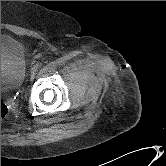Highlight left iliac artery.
<instances>
[{
    "label": "left iliac artery",
    "instance_id": "44dca946",
    "mask_svg": "<svg viewBox=\"0 0 166 166\" xmlns=\"http://www.w3.org/2000/svg\"><path fill=\"white\" fill-rule=\"evenodd\" d=\"M36 66H37V68H40V67L42 66V63L38 62V63L36 64Z\"/></svg>",
    "mask_w": 166,
    "mask_h": 166
}]
</instances>
